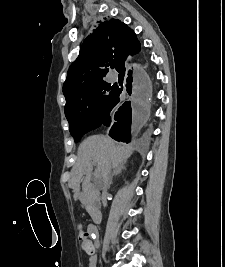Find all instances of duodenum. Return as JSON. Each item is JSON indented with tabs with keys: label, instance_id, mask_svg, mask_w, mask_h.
I'll return each mask as SVG.
<instances>
[{
	"label": "duodenum",
	"instance_id": "1",
	"mask_svg": "<svg viewBox=\"0 0 225 267\" xmlns=\"http://www.w3.org/2000/svg\"><path fill=\"white\" fill-rule=\"evenodd\" d=\"M83 200L89 210V214L91 219L94 222H98L101 220L102 214L101 210L95 200H93L89 195L83 193L82 194Z\"/></svg>",
	"mask_w": 225,
	"mask_h": 267
}]
</instances>
